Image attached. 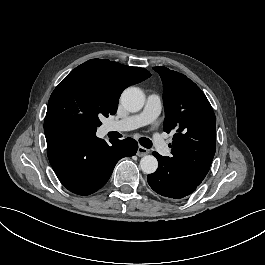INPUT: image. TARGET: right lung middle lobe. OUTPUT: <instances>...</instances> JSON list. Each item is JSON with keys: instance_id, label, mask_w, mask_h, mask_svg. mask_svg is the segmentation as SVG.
<instances>
[{"instance_id": "1", "label": "right lung middle lobe", "mask_w": 265, "mask_h": 265, "mask_svg": "<svg viewBox=\"0 0 265 265\" xmlns=\"http://www.w3.org/2000/svg\"><path fill=\"white\" fill-rule=\"evenodd\" d=\"M117 107L118 98L97 71L75 68L51 94L44 124L60 123L95 133L100 118L115 114Z\"/></svg>"}]
</instances>
